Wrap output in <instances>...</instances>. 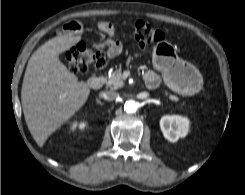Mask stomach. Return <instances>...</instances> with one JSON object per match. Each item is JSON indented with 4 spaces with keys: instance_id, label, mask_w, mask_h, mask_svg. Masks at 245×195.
Wrapping results in <instances>:
<instances>
[{
    "instance_id": "obj_1",
    "label": "stomach",
    "mask_w": 245,
    "mask_h": 195,
    "mask_svg": "<svg viewBox=\"0 0 245 195\" xmlns=\"http://www.w3.org/2000/svg\"><path fill=\"white\" fill-rule=\"evenodd\" d=\"M174 55L176 51L170 43H158L153 49V66L162 72L166 85L174 92L185 96L198 93L203 84L200 72Z\"/></svg>"
}]
</instances>
